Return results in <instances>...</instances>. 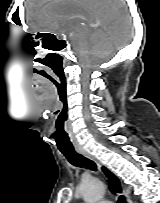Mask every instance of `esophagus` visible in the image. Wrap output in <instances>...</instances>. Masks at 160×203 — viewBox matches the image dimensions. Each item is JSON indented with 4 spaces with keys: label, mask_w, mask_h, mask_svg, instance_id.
Here are the masks:
<instances>
[{
    "label": "esophagus",
    "mask_w": 160,
    "mask_h": 203,
    "mask_svg": "<svg viewBox=\"0 0 160 203\" xmlns=\"http://www.w3.org/2000/svg\"><path fill=\"white\" fill-rule=\"evenodd\" d=\"M78 153L84 155L85 157L93 160L97 166L100 172L104 175V177L107 179L109 183V189L112 193L119 194L122 193L125 196L126 203H132L129 194L123 185L120 178L105 164L100 162L98 159H96L94 156L89 154L85 149L83 148H77L76 149Z\"/></svg>",
    "instance_id": "1"
}]
</instances>
